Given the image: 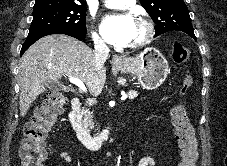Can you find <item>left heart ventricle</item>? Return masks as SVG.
<instances>
[{"instance_id":"b2bd125f","label":"left heart ventricle","mask_w":227,"mask_h":166,"mask_svg":"<svg viewBox=\"0 0 227 166\" xmlns=\"http://www.w3.org/2000/svg\"><path fill=\"white\" fill-rule=\"evenodd\" d=\"M143 36V27L139 22L134 23V31L132 38L130 40V44L138 41Z\"/></svg>"}]
</instances>
